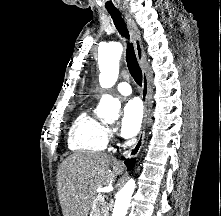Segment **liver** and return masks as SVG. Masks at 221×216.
<instances>
[{
    "mask_svg": "<svg viewBox=\"0 0 221 216\" xmlns=\"http://www.w3.org/2000/svg\"><path fill=\"white\" fill-rule=\"evenodd\" d=\"M122 172L123 165L106 154L75 153L67 157L59 167L57 184L63 216H88L96 189Z\"/></svg>",
    "mask_w": 221,
    "mask_h": 216,
    "instance_id": "6515ba94",
    "label": "liver"
}]
</instances>
